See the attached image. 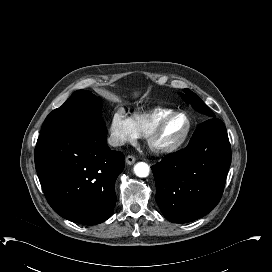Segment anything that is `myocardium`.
Wrapping results in <instances>:
<instances>
[{"instance_id": "1", "label": "myocardium", "mask_w": 272, "mask_h": 272, "mask_svg": "<svg viewBox=\"0 0 272 272\" xmlns=\"http://www.w3.org/2000/svg\"><path fill=\"white\" fill-rule=\"evenodd\" d=\"M177 116H183L187 120V128H186V131H185L184 135L182 136V138L180 140H178L176 143L169 145V146L157 145L155 142L157 137L161 135V133L164 131V129H165L166 125L169 123V121ZM191 131H192V120H191L190 116H188L185 112H182V111L172 112V113L166 115L165 117H163L153 128H151L147 132V134H146L147 143L153 152L160 154V155H167V154L173 153V152L177 151L178 149H180L188 140V138L191 134Z\"/></svg>"}]
</instances>
